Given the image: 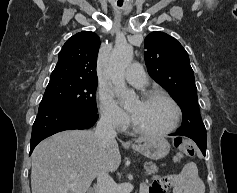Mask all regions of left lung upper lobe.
<instances>
[{"mask_svg": "<svg viewBox=\"0 0 237 193\" xmlns=\"http://www.w3.org/2000/svg\"><path fill=\"white\" fill-rule=\"evenodd\" d=\"M144 48L150 76L171 94L182 109L183 122L177 133L206 142V129L199 112L188 53L175 38L159 31L145 38Z\"/></svg>", "mask_w": 237, "mask_h": 193, "instance_id": "left-lung-upper-lobe-1", "label": "left lung upper lobe"}]
</instances>
